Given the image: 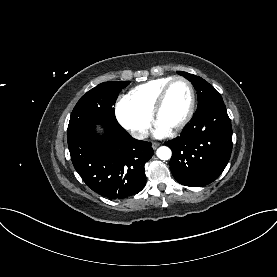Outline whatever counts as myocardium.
Instances as JSON below:
<instances>
[{
    "label": "myocardium",
    "mask_w": 277,
    "mask_h": 277,
    "mask_svg": "<svg viewBox=\"0 0 277 277\" xmlns=\"http://www.w3.org/2000/svg\"><path fill=\"white\" fill-rule=\"evenodd\" d=\"M178 81H182L188 86L189 91H190V104H189L188 111H187L186 115L184 116V118L176 126L171 128V130L174 132L182 130L190 122V120L192 119L193 114L195 112V108H196L195 89H194L193 84L187 78L182 77V76H176V77H173L168 83H166L165 86L161 89L160 93L158 94V96L155 100V103L153 105L152 112H151L153 119L155 121H158L160 111L165 103L167 94H168L171 86Z\"/></svg>",
    "instance_id": "f54148a6"
}]
</instances>
